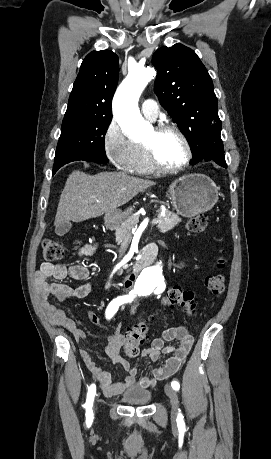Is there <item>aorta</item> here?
I'll use <instances>...</instances> for the list:
<instances>
[{
  "label": "aorta",
  "mask_w": 271,
  "mask_h": 459,
  "mask_svg": "<svg viewBox=\"0 0 271 459\" xmlns=\"http://www.w3.org/2000/svg\"><path fill=\"white\" fill-rule=\"evenodd\" d=\"M155 74L153 68H135L115 93L112 104L114 117L123 132L133 139H142L149 132V125L140 114L138 100ZM167 274L161 260L147 261L134 287L142 295L160 294L165 290Z\"/></svg>",
  "instance_id": "aorta-1"
}]
</instances>
